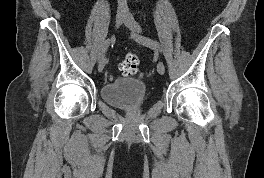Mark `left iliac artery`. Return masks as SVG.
Masks as SVG:
<instances>
[{
    "instance_id": "1",
    "label": "left iliac artery",
    "mask_w": 264,
    "mask_h": 178,
    "mask_svg": "<svg viewBox=\"0 0 264 178\" xmlns=\"http://www.w3.org/2000/svg\"><path fill=\"white\" fill-rule=\"evenodd\" d=\"M132 36L136 41L142 43L143 45H146L150 48L161 51L160 44L156 40L150 39L148 37L140 36V35H132Z\"/></svg>"
}]
</instances>
